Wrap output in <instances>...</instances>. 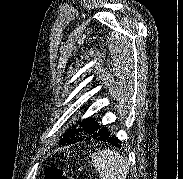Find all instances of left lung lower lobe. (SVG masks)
<instances>
[{
	"label": "left lung lower lobe",
	"mask_w": 183,
	"mask_h": 179,
	"mask_svg": "<svg viewBox=\"0 0 183 179\" xmlns=\"http://www.w3.org/2000/svg\"><path fill=\"white\" fill-rule=\"evenodd\" d=\"M90 139H96L98 141H103V142H106V143H109V144H112V145H115V146H118V143L120 142L115 136L113 133H111L110 131L107 130V128H100L98 129L97 131H95L94 133H92L91 135L89 136H86V137H79L77 139H74L71 143L69 144H73L75 142H78V141H87V140H90ZM68 145V144H66Z\"/></svg>",
	"instance_id": "0a47b994"
}]
</instances>
